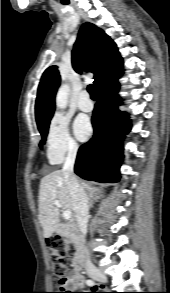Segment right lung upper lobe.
<instances>
[{
  "label": "right lung upper lobe",
  "mask_w": 170,
  "mask_h": 293,
  "mask_svg": "<svg viewBox=\"0 0 170 293\" xmlns=\"http://www.w3.org/2000/svg\"><path fill=\"white\" fill-rule=\"evenodd\" d=\"M123 60L116 44L108 35L92 23H84L72 51V65L76 72L81 69L94 73V84L98 88L109 78L122 72ZM60 85L57 66H50L42 75L35 105L38 129L47 125L55 109V94Z\"/></svg>",
  "instance_id": "cb5924a9"
}]
</instances>
